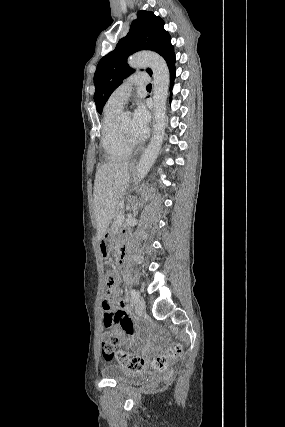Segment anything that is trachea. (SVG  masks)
Listing matches in <instances>:
<instances>
[{
	"label": "trachea",
	"mask_w": 285,
	"mask_h": 427,
	"mask_svg": "<svg viewBox=\"0 0 285 427\" xmlns=\"http://www.w3.org/2000/svg\"><path fill=\"white\" fill-rule=\"evenodd\" d=\"M146 88H150V89H151V88H152V85H151V84H148Z\"/></svg>",
	"instance_id": "1"
}]
</instances>
